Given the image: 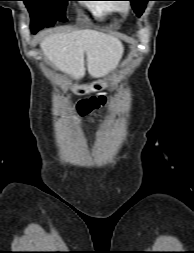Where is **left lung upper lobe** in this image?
Here are the masks:
<instances>
[{"label": "left lung upper lobe", "mask_w": 194, "mask_h": 253, "mask_svg": "<svg viewBox=\"0 0 194 253\" xmlns=\"http://www.w3.org/2000/svg\"><path fill=\"white\" fill-rule=\"evenodd\" d=\"M132 4V7L134 9V12L137 14V16H141L144 12L146 3L151 0H129Z\"/></svg>", "instance_id": "1"}]
</instances>
